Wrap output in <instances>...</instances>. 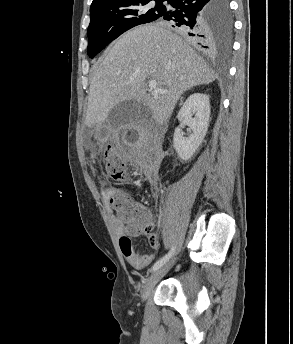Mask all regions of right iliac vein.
Wrapping results in <instances>:
<instances>
[{
    "label": "right iliac vein",
    "mask_w": 293,
    "mask_h": 344,
    "mask_svg": "<svg viewBox=\"0 0 293 344\" xmlns=\"http://www.w3.org/2000/svg\"><path fill=\"white\" fill-rule=\"evenodd\" d=\"M169 266H164L158 270H156L146 281L143 292H142V300H146L148 296L151 294L153 291L155 285L157 282L160 280L162 276L165 275V273L168 271Z\"/></svg>",
    "instance_id": "right-iliac-vein-1"
}]
</instances>
